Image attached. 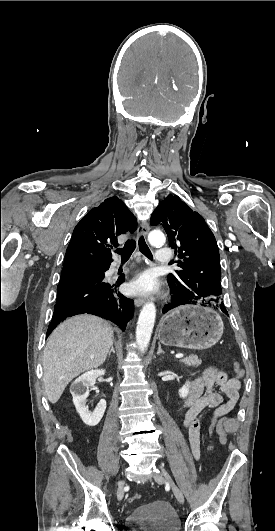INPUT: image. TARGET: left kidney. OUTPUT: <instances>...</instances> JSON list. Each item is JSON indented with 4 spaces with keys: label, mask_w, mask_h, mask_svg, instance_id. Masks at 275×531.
Segmentation results:
<instances>
[{
    "label": "left kidney",
    "mask_w": 275,
    "mask_h": 531,
    "mask_svg": "<svg viewBox=\"0 0 275 531\" xmlns=\"http://www.w3.org/2000/svg\"><path fill=\"white\" fill-rule=\"evenodd\" d=\"M189 381H186L185 385H183V387H181V389H179V395L180 397H182V399H185V397H187L188 393H189Z\"/></svg>",
    "instance_id": "obj_1"
}]
</instances>
